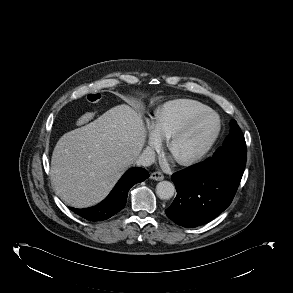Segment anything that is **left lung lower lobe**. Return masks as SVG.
Here are the masks:
<instances>
[{
  "instance_id": "1",
  "label": "left lung lower lobe",
  "mask_w": 293,
  "mask_h": 293,
  "mask_svg": "<svg viewBox=\"0 0 293 293\" xmlns=\"http://www.w3.org/2000/svg\"><path fill=\"white\" fill-rule=\"evenodd\" d=\"M245 165L246 148H238L174 173L177 196L166 215L184 227L208 223L232 202Z\"/></svg>"
}]
</instances>
